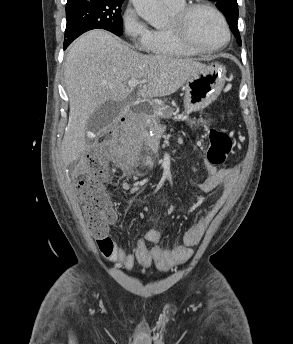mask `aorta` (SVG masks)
<instances>
[{"label": "aorta", "mask_w": 293, "mask_h": 344, "mask_svg": "<svg viewBox=\"0 0 293 344\" xmlns=\"http://www.w3.org/2000/svg\"><path fill=\"white\" fill-rule=\"evenodd\" d=\"M138 15L153 27H160L166 20L159 0H132Z\"/></svg>", "instance_id": "1"}]
</instances>
